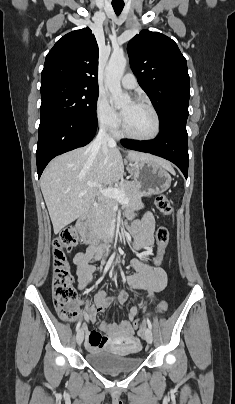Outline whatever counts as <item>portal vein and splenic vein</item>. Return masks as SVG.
<instances>
[{"label": "portal vein and splenic vein", "mask_w": 235, "mask_h": 404, "mask_svg": "<svg viewBox=\"0 0 235 404\" xmlns=\"http://www.w3.org/2000/svg\"><path fill=\"white\" fill-rule=\"evenodd\" d=\"M87 185L89 187L96 186L99 188V191L108 198H113L118 201H120L122 204H127L129 202L128 197L125 195V193L117 188H108V189H103L101 185L93 183V182H88Z\"/></svg>", "instance_id": "portal-vein-and-splenic-vein-1"}]
</instances>
